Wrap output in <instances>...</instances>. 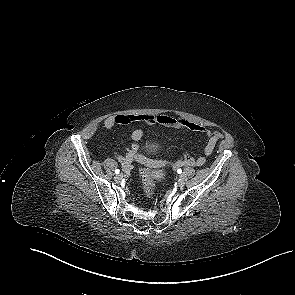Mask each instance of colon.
<instances>
[{
    "mask_svg": "<svg viewBox=\"0 0 295 295\" xmlns=\"http://www.w3.org/2000/svg\"><path fill=\"white\" fill-rule=\"evenodd\" d=\"M152 163L147 162L146 163V168L143 169L142 171V179H143V190H144V195L147 200H151L154 198V189L151 184V168Z\"/></svg>",
    "mask_w": 295,
    "mask_h": 295,
    "instance_id": "1",
    "label": "colon"
}]
</instances>
